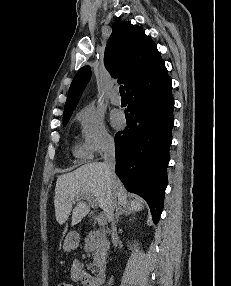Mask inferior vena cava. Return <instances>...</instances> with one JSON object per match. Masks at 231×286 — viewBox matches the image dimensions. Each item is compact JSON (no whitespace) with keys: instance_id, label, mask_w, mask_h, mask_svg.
I'll return each mask as SVG.
<instances>
[{"instance_id":"inferior-vena-cava-1","label":"inferior vena cava","mask_w":231,"mask_h":286,"mask_svg":"<svg viewBox=\"0 0 231 286\" xmlns=\"http://www.w3.org/2000/svg\"><path fill=\"white\" fill-rule=\"evenodd\" d=\"M104 152V166L106 169V174L109 179L114 181L116 178L115 175V144L113 140H106L103 146ZM116 207L115 197L111 195V204L108 210V215L111 220V228H112V241L115 242L117 240V229L114 220V209Z\"/></svg>"}]
</instances>
